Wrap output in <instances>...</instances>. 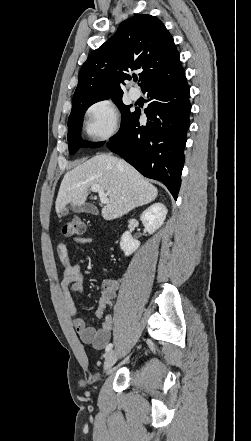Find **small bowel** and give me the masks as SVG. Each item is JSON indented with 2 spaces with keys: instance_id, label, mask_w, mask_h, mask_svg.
<instances>
[{
  "instance_id": "obj_1",
  "label": "small bowel",
  "mask_w": 251,
  "mask_h": 441,
  "mask_svg": "<svg viewBox=\"0 0 251 441\" xmlns=\"http://www.w3.org/2000/svg\"><path fill=\"white\" fill-rule=\"evenodd\" d=\"M75 241L82 245H89L92 243V239L87 237L77 238ZM57 256L63 267L60 277V288L73 327L83 343L101 350L110 341L112 332L116 327L114 316L111 313H106V311L113 307V301L116 298L119 283L114 279L103 280L101 284L99 306L96 311V317L101 321V327L96 329L92 326H88L78 315L74 300L75 296L84 293L85 271L80 263H71L67 246L64 243L58 244Z\"/></svg>"
}]
</instances>
